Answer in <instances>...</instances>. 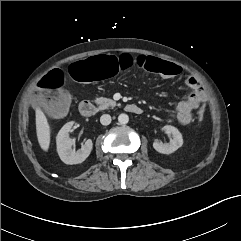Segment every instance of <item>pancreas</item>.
Instances as JSON below:
<instances>
[{
    "instance_id": "1",
    "label": "pancreas",
    "mask_w": 241,
    "mask_h": 241,
    "mask_svg": "<svg viewBox=\"0 0 241 241\" xmlns=\"http://www.w3.org/2000/svg\"><path fill=\"white\" fill-rule=\"evenodd\" d=\"M94 102L98 105L99 110L107 109L108 107L116 106V102L104 97L95 98Z\"/></svg>"
}]
</instances>
